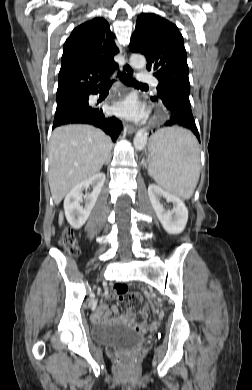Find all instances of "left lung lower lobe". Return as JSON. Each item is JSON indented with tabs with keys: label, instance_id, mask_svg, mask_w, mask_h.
<instances>
[{
	"label": "left lung lower lobe",
	"instance_id": "left-lung-lower-lobe-1",
	"mask_svg": "<svg viewBox=\"0 0 252 390\" xmlns=\"http://www.w3.org/2000/svg\"><path fill=\"white\" fill-rule=\"evenodd\" d=\"M170 112V119L164 124L165 126H182L191 130L200 142L198 129L192 114L189 94L183 91L164 88L160 90L157 99Z\"/></svg>",
	"mask_w": 252,
	"mask_h": 390
}]
</instances>
